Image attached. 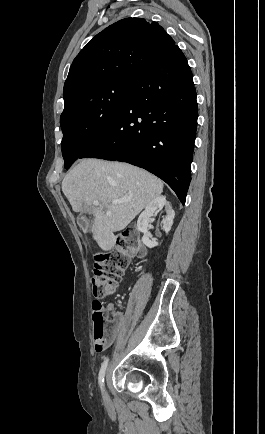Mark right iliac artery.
<instances>
[{"mask_svg":"<svg viewBox=\"0 0 265 434\" xmlns=\"http://www.w3.org/2000/svg\"><path fill=\"white\" fill-rule=\"evenodd\" d=\"M107 364H108V358L105 359V361L102 363L100 372H99V384L101 389H103V385H104V377H105V372H106V368H107Z\"/></svg>","mask_w":265,"mask_h":434,"instance_id":"right-iliac-artery-1","label":"right iliac artery"}]
</instances>
